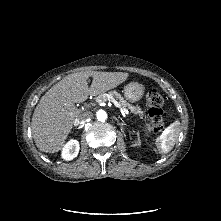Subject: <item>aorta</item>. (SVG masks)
I'll use <instances>...</instances> for the list:
<instances>
[{
	"label": "aorta",
	"instance_id": "obj_1",
	"mask_svg": "<svg viewBox=\"0 0 221 221\" xmlns=\"http://www.w3.org/2000/svg\"><path fill=\"white\" fill-rule=\"evenodd\" d=\"M96 116L101 122H104L107 119V113L104 110L97 111Z\"/></svg>",
	"mask_w": 221,
	"mask_h": 221
}]
</instances>
